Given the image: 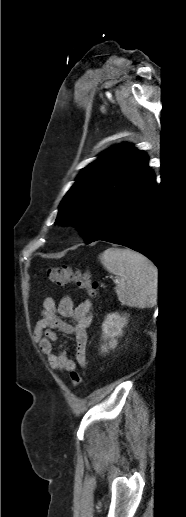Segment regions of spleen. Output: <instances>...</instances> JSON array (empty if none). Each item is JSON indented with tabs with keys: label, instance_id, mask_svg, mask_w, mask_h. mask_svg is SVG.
Here are the masks:
<instances>
[{
	"label": "spleen",
	"instance_id": "obj_1",
	"mask_svg": "<svg viewBox=\"0 0 186 517\" xmlns=\"http://www.w3.org/2000/svg\"><path fill=\"white\" fill-rule=\"evenodd\" d=\"M102 265L119 278V301L130 307H153L158 299V269L145 256L129 249L108 248L99 256Z\"/></svg>",
	"mask_w": 186,
	"mask_h": 517
}]
</instances>
